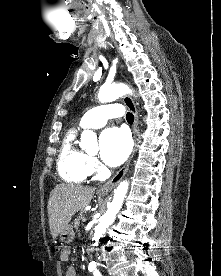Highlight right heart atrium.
I'll return each mask as SVG.
<instances>
[{
    "label": "right heart atrium",
    "mask_w": 221,
    "mask_h": 276,
    "mask_svg": "<svg viewBox=\"0 0 221 276\" xmlns=\"http://www.w3.org/2000/svg\"><path fill=\"white\" fill-rule=\"evenodd\" d=\"M88 168L90 173H95L101 169L97 159L92 156H88Z\"/></svg>",
    "instance_id": "obj_1"
}]
</instances>
